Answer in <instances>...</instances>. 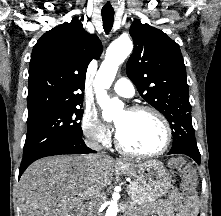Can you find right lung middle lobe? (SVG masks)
<instances>
[{
    "instance_id": "1",
    "label": "right lung middle lobe",
    "mask_w": 221,
    "mask_h": 216,
    "mask_svg": "<svg viewBox=\"0 0 221 216\" xmlns=\"http://www.w3.org/2000/svg\"><path fill=\"white\" fill-rule=\"evenodd\" d=\"M80 105L48 110L29 116L23 156L54 143L82 139L81 122L83 110Z\"/></svg>"
}]
</instances>
